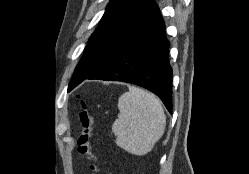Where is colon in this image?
Instances as JSON below:
<instances>
[{"instance_id": "5ec220e1", "label": "colon", "mask_w": 249, "mask_h": 174, "mask_svg": "<svg viewBox=\"0 0 249 174\" xmlns=\"http://www.w3.org/2000/svg\"><path fill=\"white\" fill-rule=\"evenodd\" d=\"M79 125L81 132L77 140L78 153L90 161V169L94 174H100L97 157L90 147L91 119L84 105H82V109L79 113Z\"/></svg>"}]
</instances>
